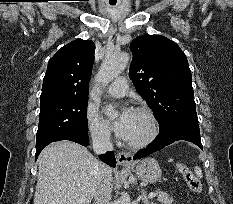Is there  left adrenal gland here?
I'll list each match as a JSON object with an SVG mask.
<instances>
[{"instance_id": "left-adrenal-gland-1", "label": "left adrenal gland", "mask_w": 233, "mask_h": 204, "mask_svg": "<svg viewBox=\"0 0 233 204\" xmlns=\"http://www.w3.org/2000/svg\"><path fill=\"white\" fill-rule=\"evenodd\" d=\"M142 200L144 201V204H154L153 202L149 201L146 191L144 189H142Z\"/></svg>"}]
</instances>
